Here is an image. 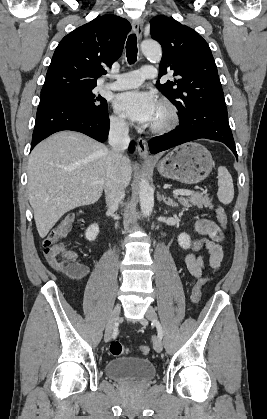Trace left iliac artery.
<instances>
[{"label":"left iliac artery","mask_w":267,"mask_h":419,"mask_svg":"<svg viewBox=\"0 0 267 419\" xmlns=\"http://www.w3.org/2000/svg\"><path fill=\"white\" fill-rule=\"evenodd\" d=\"M153 324L157 327L158 337H159L160 339H162V337H163V330H162V327H161V325H160L159 321L154 320V321H153Z\"/></svg>","instance_id":"44dca946"}]
</instances>
